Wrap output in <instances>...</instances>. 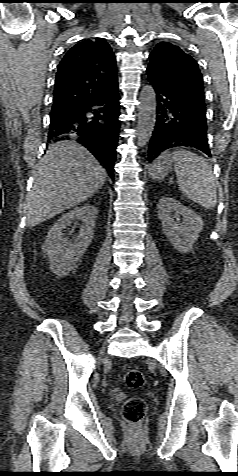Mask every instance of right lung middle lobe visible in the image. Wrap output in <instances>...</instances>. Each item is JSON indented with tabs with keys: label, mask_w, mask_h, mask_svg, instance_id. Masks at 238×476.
<instances>
[{
	"label": "right lung middle lobe",
	"mask_w": 238,
	"mask_h": 476,
	"mask_svg": "<svg viewBox=\"0 0 238 476\" xmlns=\"http://www.w3.org/2000/svg\"><path fill=\"white\" fill-rule=\"evenodd\" d=\"M77 111L78 109L75 108L52 109L50 122H59L68 119L71 115L76 114Z\"/></svg>",
	"instance_id": "obj_1"
}]
</instances>
